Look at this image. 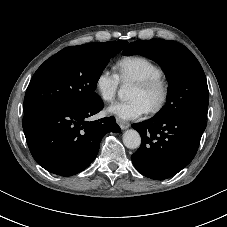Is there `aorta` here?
<instances>
[{
	"instance_id": "762f6f07",
	"label": "aorta",
	"mask_w": 227,
	"mask_h": 227,
	"mask_svg": "<svg viewBox=\"0 0 227 227\" xmlns=\"http://www.w3.org/2000/svg\"><path fill=\"white\" fill-rule=\"evenodd\" d=\"M130 89L129 85L123 84L118 91V96L123 100L127 99L130 95ZM123 143L129 149L138 148L141 144L140 134L134 129L126 130L123 134Z\"/></svg>"
}]
</instances>
